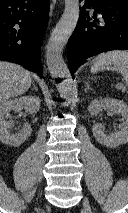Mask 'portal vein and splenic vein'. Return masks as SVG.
I'll use <instances>...</instances> for the list:
<instances>
[{
  "label": "portal vein and splenic vein",
  "mask_w": 128,
  "mask_h": 213,
  "mask_svg": "<svg viewBox=\"0 0 128 213\" xmlns=\"http://www.w3.org/2000/svg\"><path fill=\"white\" fill-rule=\"evenodd\" d=\"M122 89V92H125L126 91V87L125 86H122L120 87Z\"/></svg>",
  "instance_id": "18ae733b"
}]
</instances>
